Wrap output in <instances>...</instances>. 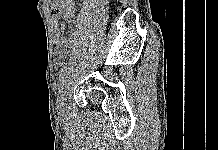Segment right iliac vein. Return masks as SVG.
Listing matches in <instances>:
<instances>
[{
  "mask_svg": "<svg viewBox=\"0 0 218 150\" xmlns=\"http://www.w3.org/2000/svg\"><path fill=\"white\" fill-rule=\"evenodd\" d=\"M68 81H69L68 79L65 80L63 86L60 88V90L58 92L57 108H58L59 113L64 112L65 100H66V96H67L68 91H69Z\"/></svg>",
  "mask_w": 218,
  "mask_h": 150,
  "instance_id": "1",
  "label": "right iliac vein"
}]
</instances>
